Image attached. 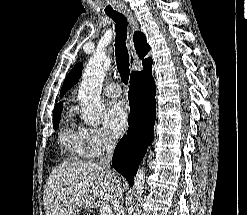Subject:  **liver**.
I'll use <instances>...</instances> for the list:
<instances>
[{"mask_svg": "<svg viewBox=\"0 0 247 215\" xmlns=\"http://www.w3.org/2000/svg\"><path fill=\"white\" fill-rule=\"evenodd\" d=\"M113 178L121 187L118 176L99 164H59L47 179L43 195L45 215H76L88 201L95 206L112 204L117 190Z\"/></svg>", "mask_w": 247, "mask_h": 215, "instance_id": "6515ba94", "label": "liver"}]
</instances>
